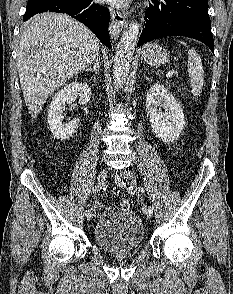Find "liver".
<instances>
[{"mask_svg": "<svg viewBox=\"0 0 233 294\" xmlns=\"http://www.w3.org/2000/svg\"><path fill=\"white\" fill-rule=\"evenodd\" d=\"M99 44L85 25L67 15L42 13L29 21L17 66L31 117H37L49 95L97 58Z\"/></svg>", "mask_w": 233, "mask_h": 294, "instance_id": "liver-1", "label": "liver"}]
</instances>
